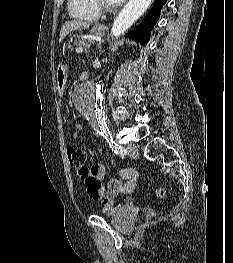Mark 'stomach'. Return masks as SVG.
<instances>
[{
  "label": "stomach",
  "mask_w": 233,
  "mask_h": 263,
  "mask_svg": "<svg viewBox=\"0 0 233 263\" xmlns=\"http://www.w3.org/2000/svg\"><path fill=\"white\" fill-rule=\"evenodd\" d=\"M104 29L105 27L103 25H95L91 29V34L96 37H101L104 35ZM56 78H57L58 91H65V88L68 87V84L66 83L67 69L65 65L60 64L58 66L57 72H56Z\"/></svg>",
  "instance_id": "stomach-1"
}]
</instances>
